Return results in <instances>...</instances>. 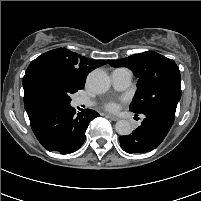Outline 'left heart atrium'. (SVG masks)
Instances as JSON below:
<instances>
[{
	"label": "left heart atrium",
	"instance_id": "1",
	"mask_svg": "<svg viewBox=\"0 0 201 201\" xmlns=\"http://www.w3.org/2000/svg\"><path fill=\"white\" fill-rule=\"evenodd\" d=\"M105 107L110 111H116L119 108V103L117 101H109L105 104Z\"/></svg>",
	"mask_w": 201,
	"mask_h": 201
}]
</instances>
